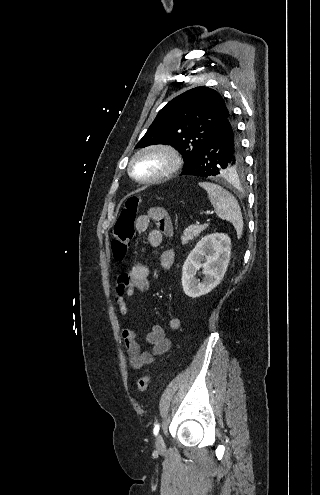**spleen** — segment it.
Instances as JSON below:
<instances>
[{"instance_id":"obj_1","label":"spleen","mask_w":320,"mask_h":495,"mask_svg":"<svg viewBox=\"0 0 320 495\" xmlns=\"http://www.w3.org/2000/svg\"><path fill=\"white\" fill-rule=\"evenodd\" d=\"M199 186L207 191L217 216L222 220L232 223L236 230L237 238H241L243 219L236 198L223 187L214 183L200 182Z\"/></svg>"}]
</instances>
